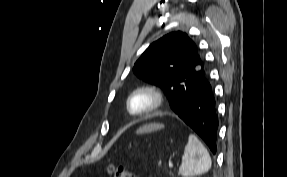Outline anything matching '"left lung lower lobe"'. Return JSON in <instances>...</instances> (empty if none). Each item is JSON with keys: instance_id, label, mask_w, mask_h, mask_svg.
<instances>
[{"instance_id": "0a47b994", "label": "left lung lower lobe", "mask_w": 287, "mask_h": 177, "mask_svg": "<svg viewBox=\"0 0 287 177\" xmlns=\"http://www.w3.org/2000/svg\"><path fill=\"white\" fill-rule=\"evenodd\" d=\"M172 110L204 140L215 154L218 118L212 87L205 71L195 85L186 87L185 95H182L180 103Z\"/></svg>"}]
</instances>
